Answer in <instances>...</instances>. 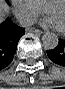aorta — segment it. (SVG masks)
I'll use <instances>...</instances> for the list:
<instances>
[{"label":"aorta","mask_w":65,"mask_h":89,"mask_svg":"<svg viewBox=\"0 0 65 89\" xmlns=\"http://www.w3.org/2000/svg\"><path fill=\"white\" fill-rule=\"evenodd\" d=\"M58 36L53 32H46L42 37V43L45 49L52 50L57 47Z\"/></svg>","instance_id":"762f6f07"}]
</instances>
